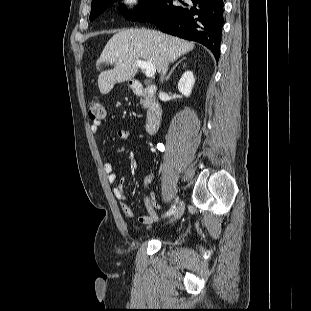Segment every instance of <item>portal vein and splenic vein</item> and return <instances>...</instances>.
<instances>
[{"instance_id":"1","label":"portal vein and splenic vein","mask_w":311,"mask_h":311,"mask_svg":"<svg viewBox=\"0 0 311 311\" xmlns=\"http://www.w3.org/2000/svg\"><path fill=\"white\" fill-rule=\"evenodd\" d=\"M136 64L139 68L145 70L146 77H153L156 69L155 66L151 62L143 61V60H136Z\"/></svg>"}]
</instances>
